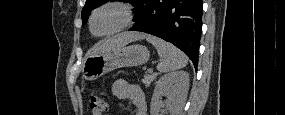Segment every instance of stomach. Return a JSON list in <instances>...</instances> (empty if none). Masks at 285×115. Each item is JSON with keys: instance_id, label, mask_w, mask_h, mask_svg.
I'll use <instances>...</instances> for the list:
<instances>
[{"instance_id": "0dacf381", "label": "stomach", "mask_w": 285, "mask_h": 115, "mask_svg": "<svg viewBox=\"0 0 285 115\" xmlns=\"http://www.w3.org/2000/svg\"><path fill=\"white\" fill-rule=\"evenodd\" d=\"M149 56L148 49L139 44L115 48L106 53H93L86 58L82 74L86 80H96L117 68L143 65Z\"/></svg>"}]
</instances>
